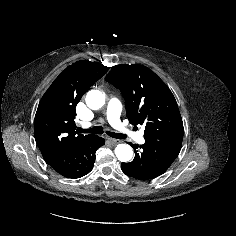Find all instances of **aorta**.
I'll list each match as a JSON object with an SVG mask.
<instances>
[{"label": "aorta", "mask_w": 236, "mask_h": 236, "mask_svg": "<svg viewBox=\"0 0 236 236\" xmlns=\"http://www.w3.org/2000/svg\"><path fill=\"white\" fill-rule=\"evenodd\" d=\"M105 94L99 90H91L86 95V104L90 109L97 110L104 106ZM115 155L121 162H128L133 157L132 147L128 144H118L115 148Z\"/></svg>", "instance_id": "aorta-1"}]
</instances>
